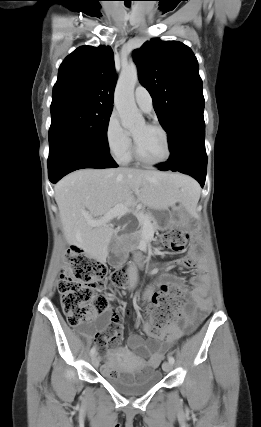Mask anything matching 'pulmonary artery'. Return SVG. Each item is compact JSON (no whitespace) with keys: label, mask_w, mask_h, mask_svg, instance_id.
I'll use <instances>...</instances> for the list:
<instances>
[{"label":"pulmonary artery","mask_w":261,"mask_h":427,"mask_svg":"<svg viewBox=\"0 0 261 427\" xmlns=\"http://www.w3.org/2000/svg\"><path fill=\"white\" fill-rule=\"evenodd\" d=\"M134 98L137 105L144 111L149 112L153 107V100L149 91L143 87L138 86L134 93Z\"/></svg>","instance_id":"e3ab8cb5"}]
</instances>
